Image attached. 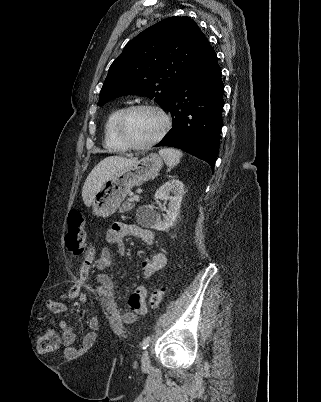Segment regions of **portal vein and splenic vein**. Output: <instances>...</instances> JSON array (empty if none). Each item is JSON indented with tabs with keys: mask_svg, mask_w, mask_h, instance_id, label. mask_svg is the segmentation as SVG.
<instances>
[{
	"mask_svg": "<svg viewBox=\"0 0 321 402\" xmlns=\"http://www.w3.org/2000/svg\"><path fill=\"white\" fill-rule=\"evenodd\" d=\"M133 200L138 201V200H139V195H135L134 198H133Z\"/></svg>",
	"mask_w": 321,
	"mask_h": 402,
	"instance_id": "18ae733b",
	"label": "portal vein and splenic vein"
}]
</instances>
